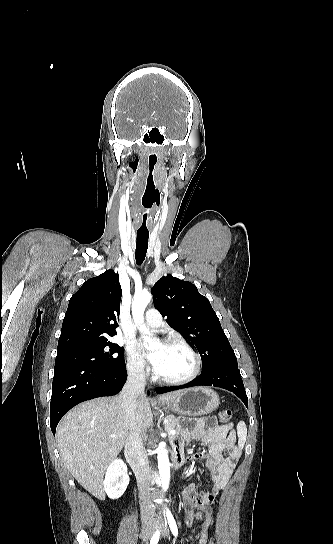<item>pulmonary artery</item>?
Returning a JSON list of instances; mask_svg holds the SVG:
<instances>
[{
    "label": "pulmonary artery",
    "mask_w": 333,
    "mask_h": 544,
    "mask_svg": "<svg viewBox=\"0 0 333 544\" xmlns=\"http://www.w3.org/2000/svg\"><path fill=\"white\" fill-rule=\"evenodd\" d=\"M145 325L152 329H159L163 326V320L156 309H149L145 316Z\"/></svg>",
    "instance_id": "e3ab8cb5"
}]
</instances>
